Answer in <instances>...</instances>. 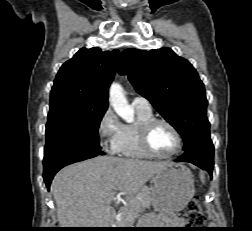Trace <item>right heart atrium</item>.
Wrapping results in <instances>:
<instances>
[{"label": "right heart atrium", "mask_w": 252, "mask_h": 231, "mask_svg": "<svg viewBox=\"0 0 252 231\" xmlns=\"http://www.w3.org/2000/svg\"><path fill=\"white\" fill-rule=\"evenodd\" d=\"M122 123L111 109H106L100 117L97 134L101 144L111 152H117Z\"/></svg>", "instance_id": "1"}]
</instances>
